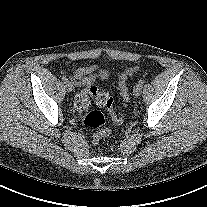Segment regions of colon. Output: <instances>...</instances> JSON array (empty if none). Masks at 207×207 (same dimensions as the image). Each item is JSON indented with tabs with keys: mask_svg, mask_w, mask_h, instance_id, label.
<instances>
[{
	"mask_svg": "<svg viewBox=\"0 0 207 207\" xmlns=\"http://www.w3.org/2000/svg\"><path fill=\"white\" fill-rule=\"evenodd\" d=\"M138 70L139 67H129L119 75L118 89L125 105L129 102L127 79ZM90 97L95 100L100 108L105 109L109 113L114 123L121 124L124 120V116L115 111L113 98L108 93L100 91L96 86H89L76 95L74 106L78 112L84 114L82 119L83 124L94 130L91 135V142L93 144H98L101 139L111 134V129L105 126V117L100 111H88L90 107Z\"/></svg>",
	"mask_w": 207,
	"mask_h": 207,
	"instance_id": "colon-1",
	"label": "colon"
}]
</instances>
